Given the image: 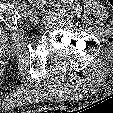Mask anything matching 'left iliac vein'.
<instances>
[{
    "label": "left iliac vein",
    "mask_w": 113,
    "mask_h": 113,
    "mask_svg": "<svg viewBox=\"0 0 113 113\" xmlns=\"http://www.w3.org/2000/svg\"><path fill=\"white\" fill-rule=\"evenodd\" d=\"M32 6L35 7L36 6V3L35 2H32Z\"/></svg>",
    "instance_id": "obj_1"
}]
</instances>
